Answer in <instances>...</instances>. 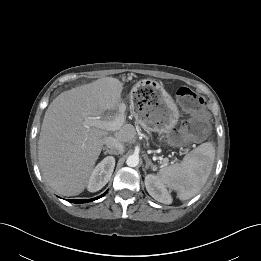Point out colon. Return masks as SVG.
Segmentation results:
<instances>
[{
    "mask_svg": "<svg viewBox=\"0 0 261 261\" xmlns=\"http://www.w3.org/2000/svg\"><path fill=\"white\" fill-rule=\"evenodd\" d=\"M176 99L182 109L189 114V118L173 135L172 141L181 143L186 140H201L210 127L203 97L183 86L176 90Z\"/></svg>",
    "mask_w": 261,
    "mask_h": 261,
    "instance_id": "colon-1",
    "label": "colon"
}]
</instances>
